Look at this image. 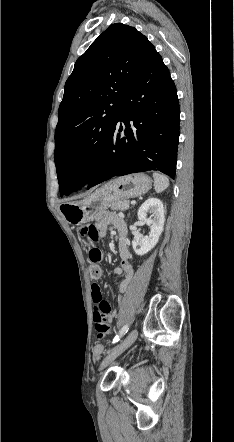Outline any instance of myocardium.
Listing matches in <instances>:
<instances>
[{
    "instance_id": "f54148a6",
    "label": "myocardium",
    "mask_w": 234,
    "mask_h": 442,
    "mask_svg": "<svg viewBox=\"0 0 234 442\" xmlns=\"http://www.w3.org/2000/svg\"><path fill=\"white\" fill-rule=\"evenodd\" d=\"M87 166H88V161L86 159L80 160L74 166V173L78 176L83 175L86 172Z\"/></svg>"
}]
</instances>
